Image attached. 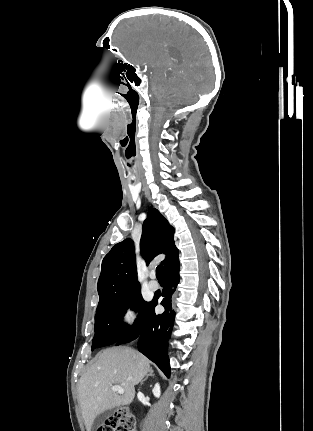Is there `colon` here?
<instances>
[{
    "mask_svg": "<svg viewBox=\"0 0 313 431\" xmlns=\"http://www.w3.org/2000/svg\"><path fill=\"white\" fill-rule=\"evenodd\" d=\"M134 414L127 408L117 409L97 431H135Z\"/></svg>",
    "mask_w": 313,
    "mask_h": 431,
    "instance_id": "obj_1",
    "label": "colon"
}]
</instances>
